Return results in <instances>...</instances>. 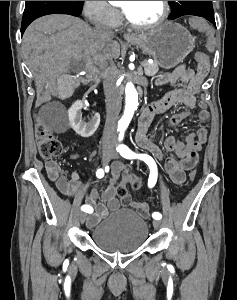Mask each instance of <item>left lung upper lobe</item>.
Returning <instances> with one entry per match:
<instances>
[{"mask_svg":"<svg viewBox=\"0 0 237 300\" xmlns=\"http://www.w3.org/2000/svg\"><path fill=\"white\" fill-rule=\"evenodd\" d=\"M172 12L171 19L184 15L205 17L214 15L212 1H169Z\"/></svg>","mask_w":237,"mask_h":300,"instance_id":"left-lung-upper-lobe-1","label":"left lung upper lobe"}]
</instances>
